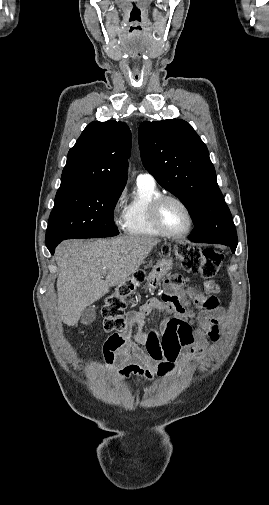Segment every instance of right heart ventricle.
Returning a JSON list of instances; mask_svg holds the SVG:
<instances>
[{
  "label": "right heart ventricle",
  "instance_id": "right-heart-ventricle-1",
  "mask_svg": "<svg viewBox=\"0 0 269 505\" xmlns=\"http://www.w3.org/2000/svg\"><path fill=\"white\" fill-rule=\"evenodd\" d=\"M160 194L155 184L137 182L136 193L125 207L123 228L127 234L145 237L161 236L153 226L149 214L151 201Z\"/></svg>",
  "mask_w": 269,
  "mask_h": 505
}]
</instances>
